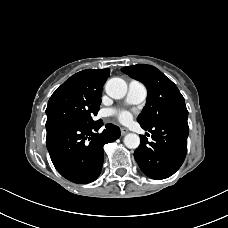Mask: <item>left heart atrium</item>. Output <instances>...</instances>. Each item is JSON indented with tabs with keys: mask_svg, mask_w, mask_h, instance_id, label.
Instances as JSON below:
<instances>
[{
	"mask_svg": "<svg viewBox=\"0 0 228 228\" xmlns=\"http://www.w3.org/2000/svg\"><path fill=\"white\" fill-rule=\"evenodd\" d=\"M118 118L121 122H127L130 120L131 115H130V113H128L126 111H122L118 114Z\"/></svg>",
	"mask_w": 228,
	"mask_h": 228,
	"instance_id": "left-heart-atrium-1",
	"label": "left heart atrium"
}]
</instances>
